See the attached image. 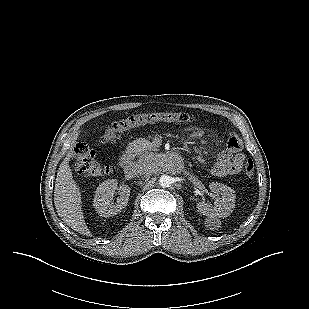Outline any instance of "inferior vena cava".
Returning <instances> with one entry per match:
<instances>
[{
  "label": "inferior vena cava",
  "instance_id": "obj_1",
  "mask_svg": "<svg viewBox=\"0 0 309 309\" xmlns=\"http://www.w3.org/2000/svg\"><path fill=\"white\" fill-rule=\"evenodd\" d=\"M125 172L126 175L129 177H134L142 173L146 175H149L151 173L150 170H148V168L145 166V164H142L140 162L133 163L132 165L128 166Z\"/></svg>",
  "mask_w": 309,
  "mask_h": 309
}]
</instances>
